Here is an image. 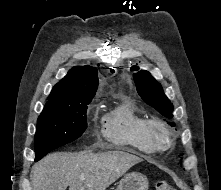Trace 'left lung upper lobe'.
Here are the masks:
<instances>
[{"instance_id":"left-lung-upper-lobe-1","label":"left lung upper lobe","mask_w":221,"mask_h":190,"mask_svg":"<svg viewBox=\"0 0 221 190\" xmlns=\"http://www.w3.org/2000/svg\"><path fill=\"white\" fill-rule=\"evenodd\" d=\"M136 89L140 97L150 106L154 107L160 114L172 118L173 106L164 94L161 85L146 71L141 70L133 75ZM173 124V123H169Z\"/></svg>"}]
</instances>
